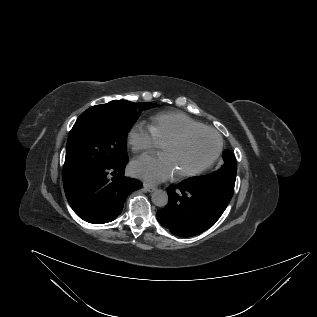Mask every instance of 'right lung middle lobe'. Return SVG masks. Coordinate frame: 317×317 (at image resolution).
<instances>
[{"mask_svg": "<svg viewBox=\"0 0 317 317\" xmlns=\"http://www.w3.org/2000/svg\"><path fill=\"white\" fill-rule=\"evenodd\" d=\"M155 106L115 100L87 109L69 133L63 170L74 176L126 160L128 132L141 111Z\"/></svg>", "mask_w": 317, "mask_h": 317, "instance_id": "obj_1", "label": "right lung middle lobe"}]
</instances>
